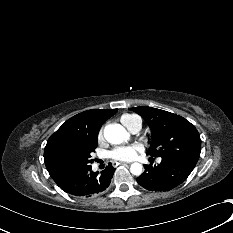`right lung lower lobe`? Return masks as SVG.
Segmentation results:
<instances>
[{"label": "right lung lower lobe", "instance_id": "obj_1", "mask_svg": "<svg viewBox=\"0 0 233 233\" xmlns=\"http://www.w3.org/2000/svg\"><path fill=\"white\" fill-rule=\"evenodd\" d=\"M115 168L109 164L101 173L93 172L91 166L71 175L58 185L63 191L77 197H91L103 192L111 183Z\"/></svg>", "mask_w": 233, "mask_h": 233}]
</instances>
